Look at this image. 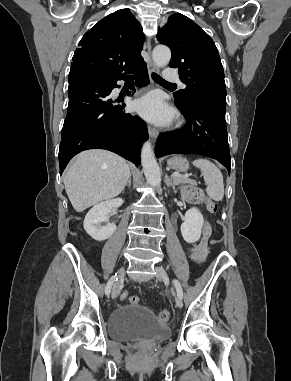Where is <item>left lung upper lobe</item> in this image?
Returning a JSON list of instances; mask_svg holds the SVG:
<instances>
[{"label":"left lung upper lobe","mask_w":291,"mask_h":381,"mask_svg":"<svg viewBox=\"0 0 291 381\" xmlns=\"http://www.w3.org/2000/svg\"><path fill=\"white\" fill-rule=\"evenodd\" d=\"M157 39L171 49L169 66L179 69V77L187 85L174 93L175 101L186 104L197 98L226 103L220 56L215 43L202 28L177 13L169 17Z\"/></svg>","instance_id":"5c2ea615"}]
</instances>
